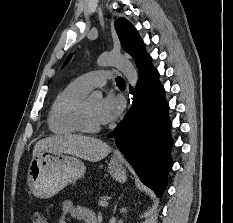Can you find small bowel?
Masks as SVG:
<instances>
[{
    "instance_id": "obj_1",
    "label": "small bowel",
    "mask_w": 233,
    "mask_h": 223,
    "mask_svg": "<svg viewBox=\"0 0 233 223\" xmlns=\"http://www.w3.org/2000/svg\"><path fill=\"white\" fill-rule=\"evenodd\" d=\"M69 216L83 223H100L98 216L93 210L85 206L75 205L70 200H65L62 203L61 215L58 219V223H67Z\"/></svg>"
}]
</instances>
